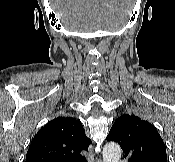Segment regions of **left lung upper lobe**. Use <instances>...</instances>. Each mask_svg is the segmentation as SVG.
<instances>
[{
    "mask_svg": "<svg viewBox=\"0 0 175 162\" xmlns=\"http://www.w3.org/2000/svg\"><path fill=\"white\" fill-rule=\"evenodd\" d=\"M106 139L120 144L128 162H167L166 147L159 133L137 116H120Z\"/></svg>",
    "mask_w": 175,
    "mask_h": 162,
    "instance_id": "5c2ea615",
    "label": "left lung upper lobe"
}]
</instances>
